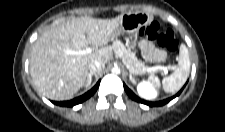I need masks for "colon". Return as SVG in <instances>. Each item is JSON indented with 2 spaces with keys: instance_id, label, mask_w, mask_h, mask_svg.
Wrapping results in <instances>:
<instances>
[{
  "instance_id": "1",
  "label": "colon",
  "mask_w": 225,
  "mask_h": 132,
  "mask_svg": "<svg viewBox=\"0 0 225 132\" xmlns=\"http://www.w3.org/2000/svg\"><path fill=\"white\" fill-rule=\"evenodd\" d=\"M139 33L148 41L155 42L163 49H166L170 52L176 51L179 47V41L175 33L172 30L160 32L159 24L156 22H151L143 26Z\"/></svg>"
}]
</instances>
